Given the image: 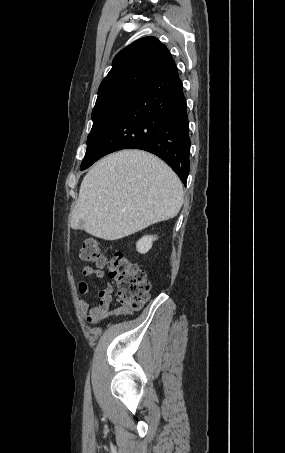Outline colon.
Listing matches in <instances>:
<instances>
[{
	"mask_svg": "<svg viewBox=\"0 0 285 453\" xmlns=\"http://www.w3.org/2000/svg\"><path fill=\"white\" fill-rule=\"evenodd\" d=\"M79 256L84 262L108 268L110 277L117 286V300L125 310H139L147 302L150 282L146 273L122 252L114 251L108 256L100 242L91 237L84 241Z\"/></svg>",
	"mask_w": 285,
	"mask_h": 453,
	"instance_id": "obj_1",
	"label": "colon"
}]
</instances>
